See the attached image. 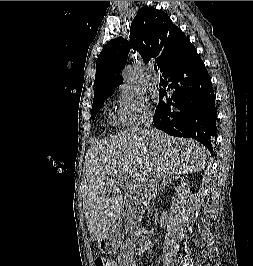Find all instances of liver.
<instances>
[{
  "label": "liver",
  "mask_w": 253,
  "mask_h": 266,
  "mask_svg": "<svg viewBox=\"0 0 253 266\" xmlns=\"http://www.w3.org/2000/svg\"><path fill=\"white\" fill-rule=\"evenodd\" d=\"M206 156V149L196 141L170 137L156 129L147 136L142 129L132 128L93 144L87 151L82 182L85 217L93 240L103 238L123 216V197L116 179L131 177L147 186L157 175L162 179L176 177L178 169L183 173L192 170L188 166L191 159L198 161L200 170Z\"/></svg>",
  "instance_id": "liver-1"
}]
</instances>
